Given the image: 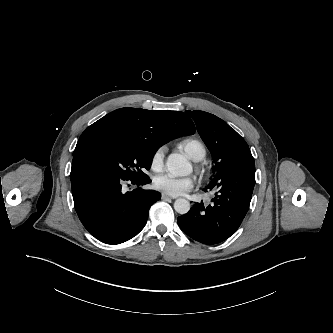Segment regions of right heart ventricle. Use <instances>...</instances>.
<instances>
[{
    "label": "right heart ventricle",
    "mask_w": 333,
    "mask_h": 333,
    "mask_svg": "<svg viewBox=\"0 0 333 333\" xmlns=\"http://www.w3.org/2000/svg\"><path fill=\"white\" fill-rule=\"evenodd\" d=\"M187 156L194 161H201L205 158L207 150L205 145L196 138H185L178 143Z\"/></svg>",
    "instance_id": "right-heart-ventricle-1"
}]
</instances>
